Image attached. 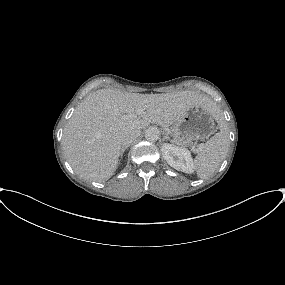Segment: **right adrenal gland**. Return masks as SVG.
<instances>
[{"label": "right adrenal gland", "mask_w": 285, "mask_h": 285, "mask_svg": "<svg viewBox=\"0 0 285 285\" xmlns=\"http://www.w3.org/2000/svg\"><path fill=\"white\" fill-rule=\"evenodd\" d=\"M127 149H128V146H125V147H123V148L121 149V157L123 156L124 151L127 150Z\"/></svg>", "instance_id": "right-adrenal-gland-1"}]
</instances>
